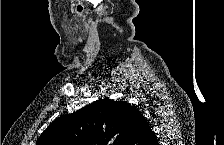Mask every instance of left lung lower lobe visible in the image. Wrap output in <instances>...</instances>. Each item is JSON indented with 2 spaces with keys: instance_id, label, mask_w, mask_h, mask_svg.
I'll list each match as a JSON object with an SVG mask.
<instances>
[{
  "instance_id": "left-lung-lower-lobe-1",
  "label": "left lung lower lobe",
  "mask_w": 224,
  "mask_h": 145,
  "mask_svg": "<svg viewBox=\"0 0 224 145\" xmlns=\"http://www.w3.org/2000/svg\"><path fill=\"white\" fill-rule=\"evenodd\" d=\"M129 145H158V141L149 124L143 117L137 121V126Z\"/></svg>"
}]
</instances>
